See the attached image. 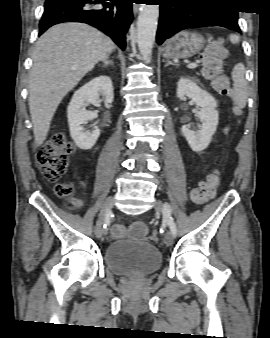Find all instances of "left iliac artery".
Wrapping results in <instances>:
<instances>
[{
    "instance_id": "left-iliac-artery-1",
    "label": "left iliac artery",
    "mask_w": 270,
    "mask_h": 338,
    "mask_svg": "<svg viewBox=\"0 0 270 338\" xmlns=\"http://www.w3.org/2000/svg\"><path fill=\"white\" fill-rule=\"evenodd\" d=\"M171 206L168 203L164 204V209H163V216H164V220L168 223L170 231L173 235L174 238H176L177 236V227L176 224L174 222V219L171 216Z\"/></svg>"
}]
</instances>
